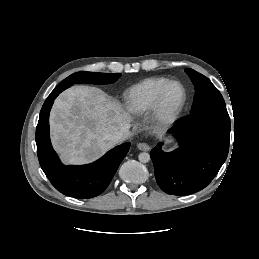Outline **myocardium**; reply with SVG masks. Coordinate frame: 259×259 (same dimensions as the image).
Returning <instances> with one entry per match:
<instances>
[{"mask_svg": "<svg viewBox=\"0 0 259 259\" xmlns=\"http://www.w3.org/2000/svg\"><path fill=\"white\" fill-rule=\"evenodd\" d=\"M172 85H177L180 87L181 97L175 105L168 107L165 104V94L167 89ZM186 102H187V90L185 86L180 81L169 80L160 88L157 94L155 106L153 109L155 120L160 125H163V126L172 124L180 116L181 112L183 111L186 105Z\"/></svg>", "mask_w": 259, "mask_h": 259, "instance_id": "1", "label": "myocardium"}]
</instances>
